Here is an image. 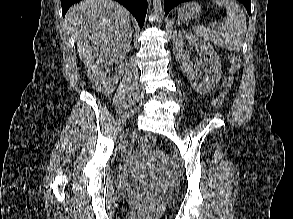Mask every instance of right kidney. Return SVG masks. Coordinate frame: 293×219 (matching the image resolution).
<instances>
[{
    "label": "right kidney",
    "mask_w": 293,
    "mask_h": 219,
    "mask_svg": "<svg viewBox=\"0 0 293 219\" xmlns=\"http://www.w3.org/2000/svg\"><path fill=\"white\" fill-rule=\"evenodd\" d=\"M113 63L118 65V70L112 77L107 76V69ZM125 66V58L123 56L118 57H101L91 65L88 69L87 75L96 89V91L103 94H110L116 89L119 78L123 73Z\"/></svg>",
    "instance_id": "1"
}]
</instances>
